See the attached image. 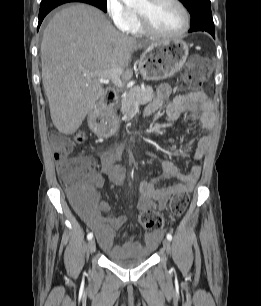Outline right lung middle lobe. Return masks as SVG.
<instances>
[{
	"label": "right lung middle lobe",
	"instance_id": "dd1d6c3e",
	"mask_svg": "<svg viewBox=\"0 0 261 306\" xmlns=\"http://www.w3.org/2000/svg\"><path fill=\"white\" fill-rule=\"evenodd\" d=\"M59 2H64V1L62 0H42L40 6L51 4V3H59ZM84 2L98 7L104 12L107 11L106 0H84Z\"/></svg>",
	"mask_w": 261,
	"mask_h": 306
}]
</instances>
